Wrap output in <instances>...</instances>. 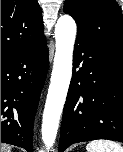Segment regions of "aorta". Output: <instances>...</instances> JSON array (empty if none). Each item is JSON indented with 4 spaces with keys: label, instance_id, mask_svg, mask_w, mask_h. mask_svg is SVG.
<instances>
[{
    "label": "aorta",
    "instance_id": "obj_1",
    "mask_svg": "<svg viewBox=\"0 0 123 152\" xmlns=\"http://www.w3.org/2000/svg\"><path fill=\"white\" fill-rule=\"evenodd\" d=\"M76 23L69 15L61 16L55 26L56 51L50 86L42 118V140L49 149L53 146L60 116L72 76Z\"/></svg>",
    "mask_w": 123,
    "mask_h": 152
}]
</instances>
